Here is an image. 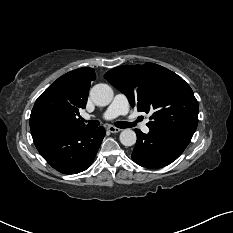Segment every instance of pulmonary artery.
I'll use <instances>...</instances> for the list:
<instances>
[{"label":"pulmonary artery","mask_w":233,"mask_h":233,"mask_svg":"<svg viewBox=\"0 0 233 233\" xmlns=\"http://www.w3.org/2000/svg\"><path fill=\"white\" fill-rule=\"evenodd\" d=\"M128 110H129V103L127 97L123 94H117L111 105L103 113L102 118L104 120H111L116 118L117 116L127 114ZM86 118L90 119V116H87ZM141 129L144 133L149 132V128L146 125V123H143L141 125Z\"/></svg>","instance_id":"pulmonary-artery-1"}]
</instances>
